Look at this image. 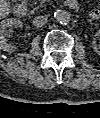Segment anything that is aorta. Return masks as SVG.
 <instances>
[{
	"instance_id": "obj_1",
	"label": "aorta",
	"mask_w": 100,
	"mask_h": 118,
	"mask_svg": "<svg viewBox=\"0 0 100 118\" xmlns=\"http://www.w3.org/2000/svg\"><path fill=\"white\" fill-rule=\"evenodd\" d=\"M55 19L63 25H66L70 22V14L66 10L58 9L54 12Z\"/></svg>"
}]
</instances>
